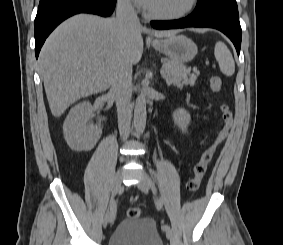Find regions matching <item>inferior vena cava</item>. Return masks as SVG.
Masks as SVG:
<instances>
[{"mask_svg":"<svg viewBox=\"0 0 283 245\" xmlns=\"http://www.w3.org/2000/svg\"><path fill=\"white\" fill-rule=\"evenodd\" d=\"M116 19L122 26L140 25L137 14L130 0H118L116 8ZM132 64L128 62L120 63L114 71L110 95L116 101L118 128L120 136L126 140L130 133L132 106Z\"/></svg>","mask_w":283,"mask_h":245,"instance_id":"602c4592","label":"inferior vena cava"}]
</instances>
